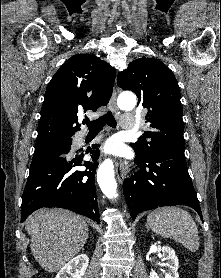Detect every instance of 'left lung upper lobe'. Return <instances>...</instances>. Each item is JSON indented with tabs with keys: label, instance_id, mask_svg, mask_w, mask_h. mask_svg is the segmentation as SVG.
Segmentation results:
<instances>
[{
	"label": "left lung upper lobe",
	"instance_id": "left-lung-upper-lobe-1",
	"mask_svg": "<svg viewBox=\"0 0 221 278\" xmlns=\"http://www.w3.org/2000/svg\"><path fill=\"white\" fill-rule=\"evenodd\" d=\"M117 81L122 89L133 91L138 105L148 111L151 130L131 143L136 154L148 158L163 149L184 150L180 90L171 70L160 60L139 58L118 74Z\"/></svg>",
	"mask_w": 221,
	"mask_h": 278
}]
</instances>
